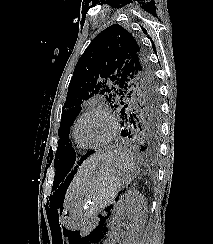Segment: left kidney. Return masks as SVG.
<instances>
[{
    "label": "left kidney",
    "mask_w": 213,
    "mask_h": 244,
    "mask_svg": "<svg viewBox=\"0 0 213 244\" xmlns=\"http://www.w3.org/2000/svg\"><path fill=\"white\" fill-rule=\"evenodd\" d=\"M143 204V197L138 196L134 192H129L125 195V197L121 198L118 203L114 207L113 212V222H118L121 219V216L124 213H127L128 217L132 220V223L129 225V232L128 235L124 238L121 244H136L135 236L136 232L139 229V217H140V208L137 205ZM116 236V232L111 234V243L113 237Z\"/></svg>",
    "instance_id": "5707ae66"
}]
</instances>
